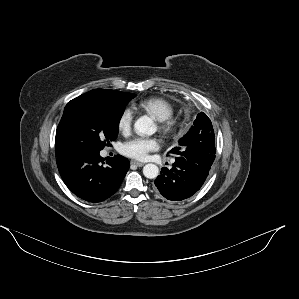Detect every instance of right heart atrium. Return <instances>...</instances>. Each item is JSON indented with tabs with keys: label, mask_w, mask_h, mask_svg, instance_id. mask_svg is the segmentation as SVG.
Instances as JSON below:
<instances>
[{
	"label": "right heart atrium",
	"mask_w": 299,
	"mask_h": 299,
	"mask_svg": "<svg viewBox=\"0 0 299 299\" xmlns=\"http://www.w3.org/2000/svg\"><path fill=\"white\" fill-rule=\"evenodd\" d=\"M133 118V110L130 107L124 108L117 119V130L122 134H127L131 130Z\"/></svg>",
	"instance_id": "obj_1"
}]
</instances>
